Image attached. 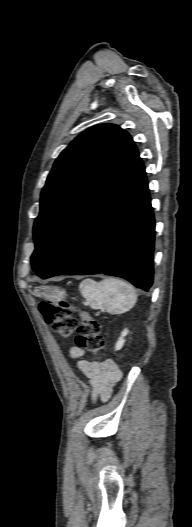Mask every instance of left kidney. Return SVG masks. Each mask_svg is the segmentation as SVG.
Instances as JSON below:
<instances>
[{
	"label": "left kidney",
	"mask_w": 192,
	"mask_h": 527,
	"mask_svg": "<svg viewBox=\"0 0 192 527\" xmlns=\"http://www.w3.org/2000/svg\"><path fill=\"white\" fill-rule=\"evenodd\" d=\"M127 333H128L127 329H124L122 331L121 336H120V338L118 339V341H117V343L115 345V350H120L123 347V345L125 343L124 337L127 335Z\"/></svg>",
	"instance_id": "obj_1"
}]
</instances>
